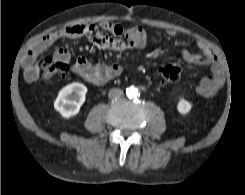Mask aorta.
I'll list each match as a JSON object with an SVG mask.
<instances>
[{"instance_id": "obj_1", "label": "aorta", "mask_w": 245, "mask_h": 195, "mask_svg": "<svg viewBox=\"0 0 245 195\" xmlns=\"http://www.w3.org/2000/svg\"><path fill=\"white\" fill-rule=\"evenodd\" d=\"M126 94L129 98H135L139 95V90L132 86L126 90Z\"/></svg>"}]
</instances>
